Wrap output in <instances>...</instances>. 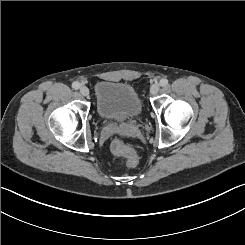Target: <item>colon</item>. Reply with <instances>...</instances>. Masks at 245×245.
<instances>
[{
	"label": "colon",
	"mask_w": 245,
	"mask_h": 245,
	"mask_svg": "<svg viewBox=\"0 0 245 245\" xmlns=\"http://www.w3.org/2000/svg\"><path fill=\"white\" fill-rule=\"evenodd\" d=\"M111 151L118 156H123L126 158V164L129 167L135 166L137 162L136 154L134 150L128 146L126 143H124L121 139H114L111 142Z\"/></svg>",
	"instance_id": "1"
}]
</instances>
